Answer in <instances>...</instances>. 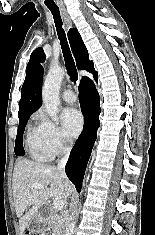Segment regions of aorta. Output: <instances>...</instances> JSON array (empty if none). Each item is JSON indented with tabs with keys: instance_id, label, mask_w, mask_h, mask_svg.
<instances>
[{
	"instance_id": "762f6f07",
	"label": "aorta",
	"mask_w": 155,
	"mask_h": 235,
	"mask_svg": "<svg viewBox=\"0 0 155 235\" xmlns=\"http://www.w3.org/2000/svg\"><path fill=\"white\" fill-rule=\"evenodd\" d=\"M65 75V70L59 66L50 67L42 88V100L47 114L52 120L57 121L58 107L60 104L59 90ZM79 211H76L73 220L68 224L65 235H72Z\"/></svg>"
}]
</instances>
